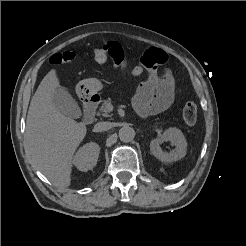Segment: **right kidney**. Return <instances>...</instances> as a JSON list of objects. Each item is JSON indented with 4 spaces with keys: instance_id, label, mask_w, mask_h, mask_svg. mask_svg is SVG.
<instances>
[{
    "instance_id": "1",
    "label": "right kidney",
    "mask_w": 246,
    "mask_h": 246,
    "mask_svg": "<svg viewBox=\"0 0 246 246\" xmlns=\"http://www.w3.org/2000/svg\"><path fill=\"white\" fill-rule=\"evenodd\" d=\"M99 153L100 147L97 143H87L77 151L73 163L80 171H88L97 164Z\"/></svg>"
}]
</instances>
